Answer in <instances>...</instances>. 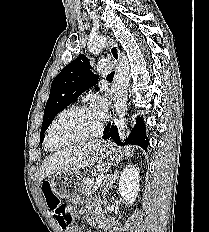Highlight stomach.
Listing matches in <instances>:
<instances>
[{
  "label": "stomach",
  "mask_w": 209,
  "mask_h": 232,
  "mask_svg": "<svg viewBox=\"0 0 209 232\" xmlns=\"http://www.w3.org/2000/svg\"><path fill=\"white\" fill-rule=\"evenodd\" d=\"M115 148L112 144H105L101 153L104 156H112ZM128 153L130 149L126 150ZM78 171H57L50 185L52 191L59 196V199H76L77 191L81 190L80 183H83V178H80Z\"/></svg>",
  "instance_id": "stomach-1"
}]
</instances>
